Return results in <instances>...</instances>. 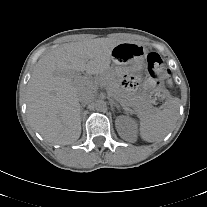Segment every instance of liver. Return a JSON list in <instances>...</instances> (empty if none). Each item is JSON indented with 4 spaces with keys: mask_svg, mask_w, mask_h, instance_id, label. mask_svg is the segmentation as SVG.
Listing matches in <instances>:
<instances>
[{
    "mask_svg": "<svg viewBox=\"0 0 207 207\" xmlns=\"http://www.w3.org/2000/svg\"><path fill=\"white\" fill-rule=\"evenodd\" d=\"M120 42L109 38L63 44L42 56L27 87V116L49 143L66 145L81 134L78 92L95 88L91 75L109 71L111 53ZM89 77L76 80L84 72Z\"/></svg>",
    "mask_w": 207,
    "mask_h": 207,
    "instance_id": "6515ba94",
    "label": "liver"
}]
</instances>
